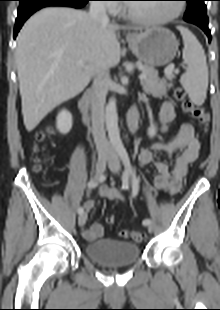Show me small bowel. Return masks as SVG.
<instances>
[{"instance_id": "obj_1", "label": "small bowel", "mask_w": 220, "mask_h": 310, "mask_svg": "<svg viewBox=\"0 0 220 310\" xmlns=\"http://www.w3.org/2000/svg\"><path fill=\"white\" fill-rule=\"evenodd\" d=\"M136 112V110H132ZM175 117L174 107L170 102H165L160 111L162 122V132H166L168 124ZM200 144L195 135L194 127L190 123L182 124L179 132L172 138L163 142H155L149 148H143L139 154V163L141 166L153 164L156 169V175L153 178V185L168 195H176L182 188V181L186 175L188 165L196 160ZM163 152L167 155L175 156L172 168L158 158L157 153ZM99 196L111 201L122 200V194L106 186L99 188ZM94 200L85 202L86 211L94 207ZM104 234V227L100 223H93L86 228L83 236L88 241H96Z\"/></svg>"}]
</instances>
